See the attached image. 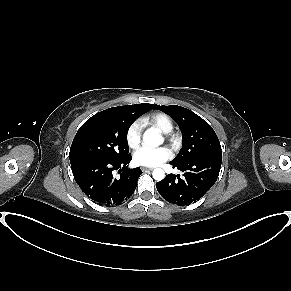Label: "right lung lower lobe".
Masks as SVG:
<instances>
[{
  "mask_svg": "<svg viewBox=\"0 0 291 291\" xmlns=\"http://www.w3.org/2000/svg\"><path fill=\"white\" fill-rule=\"evenodd\" d=\"M131 155L118 160L91 159L71 164L75 181L94 202L103 206L120 205L134 193L141 169H128ZM121 167L123 171H121ZM119 169V170H118ZM118 170L120 178L113 176Z\"/></svg>",
  "mask_w": 291,
  "mask_h": 291,
  "instance_id": "obj_1",
  "label": "right lung lower lobe"
}]
</instances>
